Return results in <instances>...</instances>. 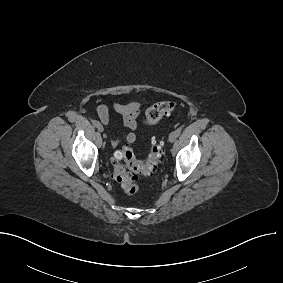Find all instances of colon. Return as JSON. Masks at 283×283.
<instances>
[{"label":"colon","instance_id":"colon-1","mask_svg":"<svg viewBox=\"0 0 283 283\" xmlns=\"http://www.w3.org/2000/svg\"><path fill=\"white\" fill-rule=\"evenodd\" d=\"M176 109V104L169 101L158 102L150 106L145 113L144 123L157 124L162 118L170 116ZM162 155V144L152 141L149 153L145 160L136 158L133 149L123 147L113 156V179L121 186L123 191L134 195L139 191L137 175H151L158 167Z\"/></svg>","mask_w":283,"mask_h":283}]
</instances>
